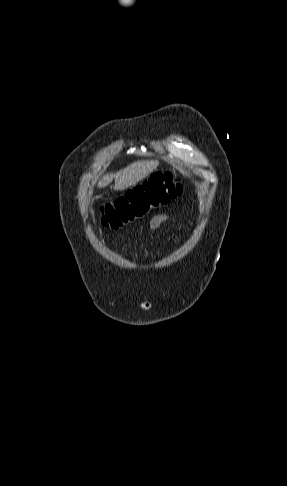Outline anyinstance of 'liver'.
I'll use <instances>...</instances> for the list:
<instances>
[{"mask_svg": "<svg viewBox=\"0 0 287 486\" xmlns=\"http://www.w3.org/2000/svg\"><path fill=\"white\" fill-rule=\"evenodd\" d=\"M158 165L159 162L157 160H142L134 162L114 174L104 175L99 181L98 187H106L114 178L115 184L113 189L116 191L125 190L130 186L136 185L139 181L152 173Z\"/></svg>", "mask_w": 287, "mask_h": 486, "instance_id": "obj_1", "label": "liver"}]
</instances>
